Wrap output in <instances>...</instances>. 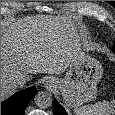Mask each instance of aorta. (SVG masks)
<instances>
[{
  "label": "aorta",
  "instance_id": "aorta-1",
  "mask_svg": "<svg viewBox=\"0 0 115 115\" xmlns=\"http://www.w3.org/2000/svg\"><path fill=\"white\" fill-rule=\"evenodd\" d=\"M35 104L39 108H48L52 105V95L46 91H41L38 94H36L35 98Z\"/></svg>",
  "mask_w": 115,
  "mask_h": 115
}]
</instances>
